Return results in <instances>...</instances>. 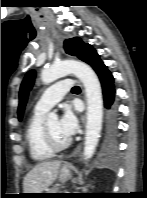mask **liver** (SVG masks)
I'll use <instances>...</instances> for the list:
<instances>
[{"mask_svg": "<svg viewBox=\"0 0 147 198\" xmlns=\"http://www.w3.org/2000/svg\"><path fill=\"white\" fill-rule=\"evenodd\" d=\"M61 161H47L37 164L27 173L23 181L24 193H42L57 179Z\"/></svg>", "mask_w": 147, "mask_h": 198, "instance_id": "6515ba94", "label": "liver"}]
</instances>
